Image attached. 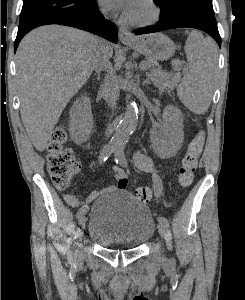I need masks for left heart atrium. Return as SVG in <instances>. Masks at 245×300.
Instances as JSON below:
<instances>
[{
    "mask_svg": "<svg viewBox=\"0 0 245 300\" xmlns=\"http://www.w3.org/2000/svg\"><path fill=\"white\" fill-rule=\"evenodd\" d=\"M139 0H100L101 4L110 10L121 11L123 16L130 18L131 13Z\"/></svg>",
    "mask_w": 245,
    "mask_h": 300,
    "instance_id": "obj_1",
    "label": "left heart atrium"
}]
</instances>
